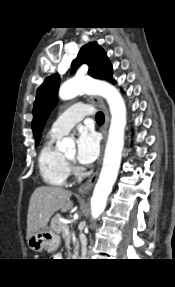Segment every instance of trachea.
Segmentation results:
<instances>
[{"label":"trachea","mask_w":175,"mask_h":287,"mask_svg":"<svg viewBox=\"0 0 175 287\" xmlns=\"http://www.w3.org/2000/svg\"><path fill=\"white\" fill-rule=\"evenodd\" d=\"M95 119L97 123H103L105 120L104 114L102 112H97Z\"/></svg>","instance_id":"3493384b"}]
</instances>
